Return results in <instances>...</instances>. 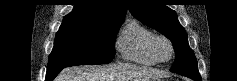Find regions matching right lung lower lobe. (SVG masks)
I'll return each mask as SVG.
<instances>
[{"label":"right lung lower lobe","instance_id":"right-lung-lower-lobe-1","mask_svg":"<svg viewBox=\"0 0 237 81\" xmlns=\"http://www.w3.org/2000/svg\"><path fill=\"white\" fill-rule=\"evenodd\" d=\"M62 69L47 71L45 81H52Z\"/></svg>","mask_w":237,"mask_h":81}]
</instances>
